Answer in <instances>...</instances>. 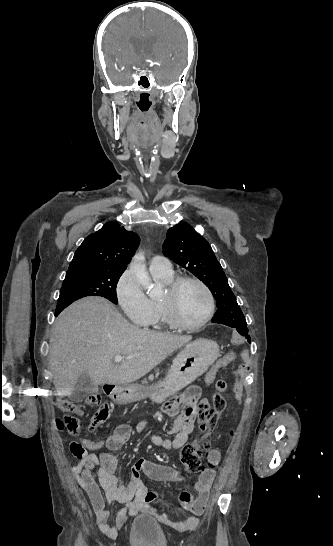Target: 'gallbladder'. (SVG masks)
I'll return each instance as SVG.
<instances>
[{"instance_id": "obj_1", "label": "gallbladder", "mask_w": 333, "mask_h": 546, "mask_svg": "<svg viewBox=\"0 0 333 546\" xmlns=\"http://www.w3.org/2000/svg\"><path fill=\"white\" fill-rule=\"evenodd\" d=\"M98 392V386L94 385L87 374L79 376L76 383L75 399L82 401L88 394Z\"/></svg>"}]
</instances>
